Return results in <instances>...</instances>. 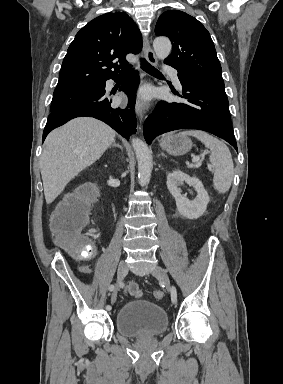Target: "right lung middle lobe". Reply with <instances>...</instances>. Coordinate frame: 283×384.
I'll list each match as a JSON object with an SVG mask.
<instances>
[{"label": "right lung middle lobe", "mask_w": 283, "mask_h": 384, "mask_svg": "<svg viewBox=\"0 0 283 384\" xmlns=\"http://www.w3.org/2000/svg\"><path fill=\"white\" fill-rule=\"evenodd\" d=\"M97 86L98 85L55 90L51 110L62 108L92 95L96 91Z\"/></svg>", "instance_id": "obj_1"}]
</instances>
